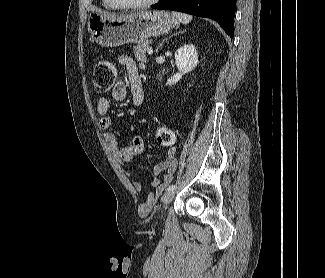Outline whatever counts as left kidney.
Listing matches in <instances>:
<instances>
[{
    "mask_svg": "<svg viewBox=\"0 0 325 278\" xmlns=\"http://www.w3.org/2000/svg\"><path fill=\"white\" fill-rule=\"evenodd\" d=\"M175 62L178 73L167 80V85L171 86L177 83L184 74L191 72L198 64V53L195 46L187 44L180 47L175 52Z\"/></svg>",
    "mask_w": 325,
    "mask_h": 278,
    "instance_id": "obj_1",
    "label": "left kidney"
}]
</instances>
